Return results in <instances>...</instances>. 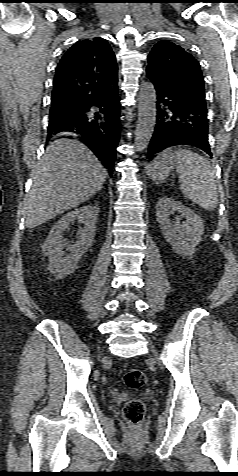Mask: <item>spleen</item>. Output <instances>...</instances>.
Returning a JSON list of instances; mask_svg holds the SVG:
<instances>
[{
    "instance_id": "3e777b00",
    "label": "spleen",
    "mask_w": 238,
    "mask_h": 476,
    "mask_svg": "<svg viewBox=\"0 0 238 476\" xmlns=\"http://www.w3.org/2000/svg\"><path fill=\"white\" fill-rule=\"evenodd\" d=\"M182 193L206 210L218 202L214 171L206 158L186 149L174 152Z\"/></svg>"
}]
</instances>
